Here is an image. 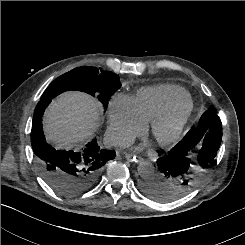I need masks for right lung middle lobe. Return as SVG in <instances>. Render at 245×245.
I'll return each instance as SVG.
<instances>
[{"label":"right lung middle lobe","mask_w":245,"mask_h":245,"mask_svg":"<svg viewBox=\"0 0 245 245\" xmlns=\"http://www.w3.org/2000/svg\"><path fill=\"white\" fill-rule=\"evenodd\" d=\"M120 87L119 76L112 72L99 71L95 67H79L54 80L40 100L52 99L64 91L78 90L97 96L106 109L109 99Z\"/></svg>","instance_id":"dd1d6c3e"}]
</instances>
